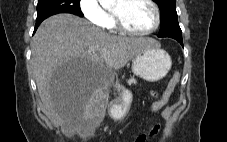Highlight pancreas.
I'll list each match as a JSON object with an SVG mask.
<instances>
[{"label":"pancreas","mask_w":227,"mask_h":142,"mask_svg":"<svg viewBox=\"0 0 227 142\" xmlns=\"http://www.w3.org/2000/svg\"><path fill=\"white\" fill-rule=\"evenodd\" d=\"M127 84L130 86L133 84H137V80L134 77H132L129 80H127Z\"/></svg>","instance_id":"obj_1"}]
</instances>
